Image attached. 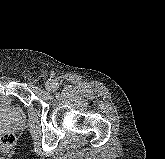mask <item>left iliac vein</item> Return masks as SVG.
<instances>
[{
    "instance_id": "obj_1",
    "label": "left iliac vein",
    "mask_w": 165,
    "mask_h": 159,
    "mask_svg": "<svg viewBox=\"0 0 165 159\" xmlns=\"http://www.w3.org/2000/svg\"><path fill=\"white\" fill-rule=\"evenodd\" d=\"M45 87L49 91V90H52L54 88V84L52 82H48Z\"/></svg>"
}]
</instances>
